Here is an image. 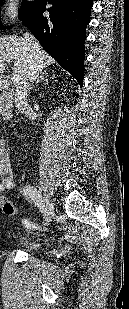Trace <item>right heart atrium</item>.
<instances>
[{
    "mask_svg": "<svg viewBox=\"0 0 129 309\" xmlns=\"http://www.w3.org/2000/svg\"><path fill=\"white\" fill-rule=\"evenodd\" d=\"M18 14V5L16 0H5L2 6V16L4 22L13 21Z\"/></svg>",
    "mask_w": 129,
    "mask_h": 309,
    "instance_id": "1",
    "label": "right heart atrium"
}]
</instances>
